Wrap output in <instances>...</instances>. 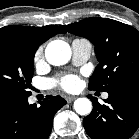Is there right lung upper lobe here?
Instances as JSON below:
<instances>
[{"label": "right lung upper lobe", "instance_id": "1", "mask_svg": "<svg viewBox=\"0 0 139 139\" xmlns=\"http://www.w3.org/2000/svg\"><path fill=\"white\" fill-rule=\"evenodd\" d=\"M58 33H65V31L56 25L44 27L10 25L0 28V38H12L20 40L30 43L37 48L41 43Z\"/></svg>", "mask_w": 139, "mask_h": 139}]
</instances>
